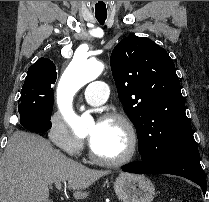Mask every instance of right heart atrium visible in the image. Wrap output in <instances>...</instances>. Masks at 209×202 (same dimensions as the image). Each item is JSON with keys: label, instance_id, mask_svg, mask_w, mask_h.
I'll use <instances>...</instances> for the list:
<instances>
[{"label": "right heart atrium", "instance_id": "obj_1", "mask_svg": "<svg viewBox=\"0 0 209 202\" xmlns=\"http://www.w3.org/2000/svg\"><path fill=\"white\" fill-rule=\"evenodd\" d=\"M48 136L57 147L70 156H77L84 147V140L56 116L50 119ZM68 163L74 164L72 161Z\"/></svg>", "mask_w": 209, "mask_h": 202}]
</instances>
